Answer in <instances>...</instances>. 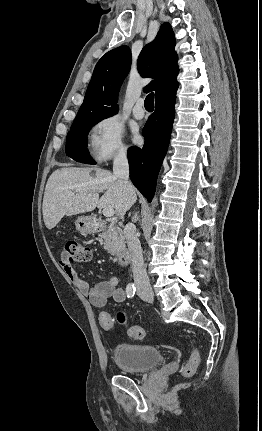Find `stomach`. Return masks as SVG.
Returning <instances> with one entry per match:
<instances>
[{
    "label": "stomach",
    "instance_id": "obj_1",
    "mask_svg": "<svg viewBox=\"0 0 262 431\" xmlns=\"http://www.w3.org/2000/svg\"><path fill=\"white\" fill-rule=\"evenodd\" d=\"M76 229L83 234H93L97 231L96 221L92 216H80L75 222Z\"/></svg>",
    "mask_w": 262,
    "mask_h": 431
}]
</instances>
